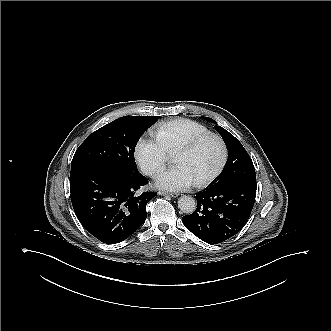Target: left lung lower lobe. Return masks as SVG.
Wrapping results in <instances>:
<instances>
[{
  "instance_id": "1",
  "label": "left lung lower lobe",
  "mask_w": 331,
  "mask_h": 331,
  "mask_svg": "<svg viewBox=\"0 0 331 331\" xmlns=\"http://www.w3.org/2000/svg\"><path fill=\"white\" fill-rule=\"evenodd\" d=\"M255 185L234 182L196 193L197 209L183 216L184 225L199 239L217 244L232 238L247 223L256 196Z\"/></svg>"
}]
</instances>
